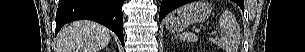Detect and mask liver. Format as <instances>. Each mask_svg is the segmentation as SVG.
Listing matches in <instances>:
<instances>
[{
	"mask_svg": "<svg viewBox=\"0 0 305 52\" xmlns=\"http://www.w3.org/2000/svg\"><path fill=\"white\" fill-rule=\"evenodd\" d=\"M111 40L104 26L92 21L65 25L58 37L57 52H100Z\"/></svg>",
	"mask_w": 305,
	"mask_h": 52,
	"instance_id": "6515ba94",
	"label": "liver"
}]
</instances>
